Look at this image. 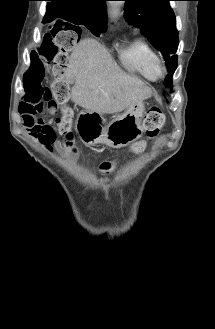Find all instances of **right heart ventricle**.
I'll list each match as a JSON object with an SVG mask.
<instances>
[{
  "label": "right heart ventricle",
  "mask_w": 215,
  "mask_h": 329,
  "mask_svg": "<svg viewBox=\"0 0 215 329\" xmlns=\"http://www.w3.org/2000/svg\"><path fill=\"white\" fill-rule=\"evenodd\" d=\"M119 60L127 71L137 73L149 81L161 77L160 56L144 38H135L125 45L119 52Z\"/></svg>",
  "instance_id": "right-heart-ventricle-1"
}]
</instances>
